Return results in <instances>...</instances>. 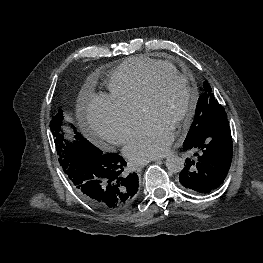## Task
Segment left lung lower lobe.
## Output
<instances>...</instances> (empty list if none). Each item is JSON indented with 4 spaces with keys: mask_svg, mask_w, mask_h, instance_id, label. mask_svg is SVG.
<instances>
[{
    "mask_svg": "<svg viewBox=\"0 0 263 263\" xmlns=\"http://www.w3.org/2000/svg\"><path fill=\"white\" fill-rule=\"evenodd\" d=\"M183 149L196 151V158L186 159L179 176L182 186L197 194L214 191L223 183L232 161L233 144L228 120H217L199 136L186 138Z\"/></svg>",
    "mask_w": 263,
    "mask_h": 263,
    "instance_id": "obj_1",
    "label": "left lung lower lobe"
}]
</instances>
